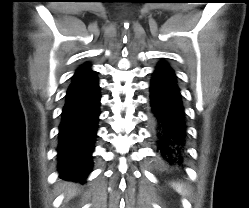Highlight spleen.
<instances>
[{"label":"spleen","mask_w":249,"mask_h":208,"mask_svg":"<svg viewBox=\"0 0 249 208\" xmlns=\"http://www.w3.org/2000/svg\"><path fill=\"white\" fill-rule=\"evenodd\" d=\"M173 186L176 188V191H177L178 193L184 194V193H183V190H182V186L176 185V184H174Z\"/></svg>","instance_id":"obj_1"}]
</instances>
